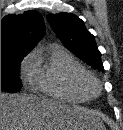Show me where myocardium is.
I'll return each mask as SVG.
<instances>
[{"label":"myocardium","instance_id":"f54148a6","mask_svg":"<svg viewBox=\"0 0 123 130\" xmlns=\"http://www.w3.org/2000/svg\"><path fill=\"white\" fill-rule=\"evenodd\" d=\"M83 84H84V87H85V89L90 97L96 95L100 90L99 82L91 74H89L84 79Z\"/></svg>","mask_w":123,"mask_h":130}]
</instances>
